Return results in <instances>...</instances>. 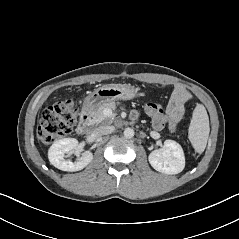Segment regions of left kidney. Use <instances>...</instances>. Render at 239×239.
Masks as SVG:
<instances>
[{"mask_svg": "<svg viewBox=\"0 0 239 239\" xmlns=\"http://www.w3.org/2000/svg\"><path fill=\"white\" fill-rule=\"evenodd\" d=\"M149 163L158 172L178 174L185 167L184 152L180 144L173 140H166L159 150L149 155Z\"/></svg>", "mask_w": 239, "mask_h": 239, "instance_id": "left-kidney-1", "label": "left kidney"}]
</instances>
